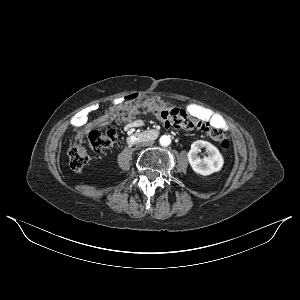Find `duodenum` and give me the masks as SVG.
<instances>
[{
    "mask_svg": "<svg viewBox=\"0 0 300 300\" xmlns=\"http://www.w3.org/2000/svg\"><path fill=\"white\" fill-rule=\"evenodd\" d=\"M158 136L157 130H149L140 133H132L127 141L131 144L136 143L138 140H153Z\"/></svg>",
    "mask_w": 300,
    "mask_h": 300,
    "instance_id": "1",
    "label": "duodenum"
}]
</instances>
